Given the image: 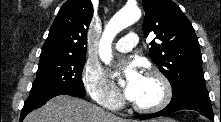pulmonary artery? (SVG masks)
<instances>
[{
	"label": "pulmonary artery",
	"instance_id": "pulmonary-artery-1",
	"mask_svg": "<svg viewBox=\"0 0 221 122\" xmlns=\"http://www.w3.org/2000/svg\"><path fill=\"white\" fill-rule=\"evenodd\" d=\"M137 43V34L131 32L125 35L115 44V49L119 52H129L137 45Z\"/></svg>",
	"mask_w": 221,
	"mask_h": 122
}]
</instances>
